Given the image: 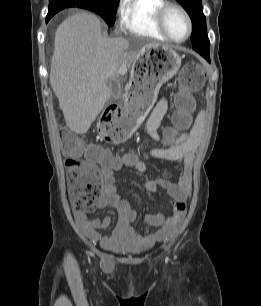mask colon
<instances>
[{
	"instance_id": "obj_1",
	"label": "colon",
	"mask_w": 261,
	"mask_h": 306,
	"mask_svg": "<svg viewBox=\"0 0 261 306\" xmlns=\"http://www.w3.org/2000/svg\"><path fill=\"white\" fill-rule=\"evenodd\" d=\"M205 78L203 67L197 62L187 63L179 73L177 103L179 110L175 115L176 124L179 129L189 126V112L194 105L193 94L200 89ZM102 134L111 142H121L131 135V128L117 120L105 122L102 125ZM172 131L167 132L171 136ZM64 151L75 156L82 150L81 142L71 134L63 137ZM87 154L91 160L103 159L107 155L105 151L98 147L87 148ZM122 156L120 160H126ZM68 186L71 196L72 206L76 210L85 211L90 208L93 197L102 187L100 173L91 164H76L68 174Z\"/></svg>"
}]
</instances>
